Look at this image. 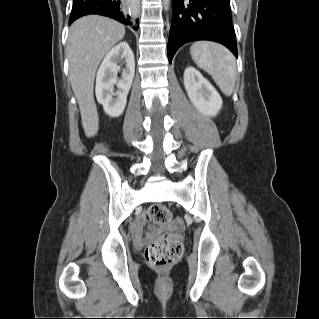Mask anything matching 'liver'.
<instances>
[{"mask_svg": "<svg viewBox=\"0 0 319 319\" xmlns=\"http://www.w3.org/2000/svg\"><path fill=\"white\" fill-rule=\"evenodd\" d=\"M124 35V25L99 15L82 17L70 27L67 41L69 79L87 137L95 136L99 129L93 94L97 68L104 55L122 40Z\"/></svg>", "mask_w": 319, "mask_h": 319, "instance_id": "liver-1", "label": "liver"}]
</instances>
